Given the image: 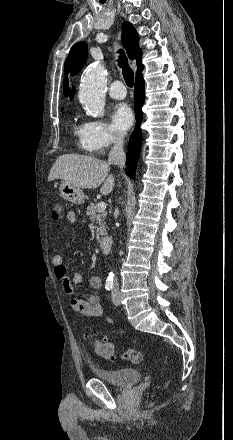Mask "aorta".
I'll use <instances>...</instances> for the list:
<instances>
[{"label": "aorta", "instance_id": "obj_1", "mask_svg": "<svg viewBox=\"0 0 233 440\" xmlns=\"http://www.w3.org/2000/svg\"><path fill=\"white\" fill-rule=\"evenodd\" d=\"M106 73L101 65L89 67L83 75L79 93L80 102L93 117L103 115L105 107ZM109 276H113L110 272Z\"/></svg>", "mask_w": 233, "mask_h": 440}]
</instances>
